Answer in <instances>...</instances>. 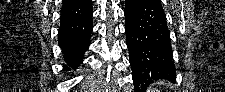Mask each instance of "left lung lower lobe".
I'll list each match as a JSON object with an SVG mask.
<instances>
[{
    "instance_id": "obj_1",
    "label": "left lung lower lobe",
    "mask_w": 225,
    "mask_h": 92,
    "mask_svg": "<svg viewBox=\"0 0 225 92\" xmlns=\"http://www.w3.org/2000/svg\"><path fill=\"white\" fill-rule=\"evenodd\" d=\"M125 31L135 92L159 79L175 80L170 32L161 3L125 0Z\"/></svg>"
}]
</instances>
